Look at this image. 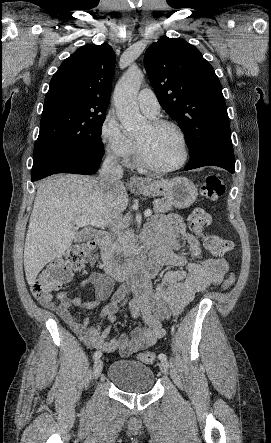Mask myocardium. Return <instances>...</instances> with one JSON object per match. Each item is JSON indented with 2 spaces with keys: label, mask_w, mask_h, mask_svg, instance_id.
<instances>
[{
  "label": "myocardium",
  "mask_w": 271,
  "mask_h": 443,
  "mask_svg": "<svg viewBox=\"0 0 271 443\" xmlns=\"http://www.w3.org/2000/svg\"><path fill=\"white\" fill-rule=\"evenodd\" d=\"M148 124L152 128L168 126V127L173 128L174 130H176L181 138V141H182L183 156H182L181 160L179 162H177L176 164H173L170 166H159L149 160V158L147 157V155L144 152L141 145L137 141H135L137 153H138V159H139L140 164L143 167L147 168L148 170H151L154 172H159V173L171 172V171H175L177 169L182 168L188 162V159L190 156L189 141H188V137H187L185 131L183 130V128L171 120L159 119V118L149 120Z\"/></svg>",
  "instance_id": "1"
}]
</instances>
